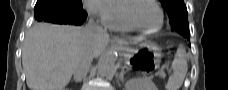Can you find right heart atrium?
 Segmentation results:
<instances>
[{
	"label": "right heart atrium",
	"instance_id": "d8ad5b80",
	"mask_svg": "<svg viewBox=\"0 0 228 90\" xmlns=\"http://www.w3.org/2000/svg\"><path fill=\"white\" fill-rule=\"evenodd\" d=\"M83 5L88 14L100 23L107 25L112 17V8L108 0H84Z\"/></svg>",
	"mask_w": 228,
	"mask_h": 90
}]
</instances>
